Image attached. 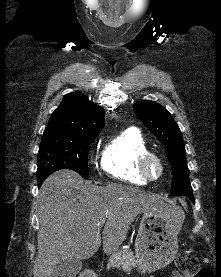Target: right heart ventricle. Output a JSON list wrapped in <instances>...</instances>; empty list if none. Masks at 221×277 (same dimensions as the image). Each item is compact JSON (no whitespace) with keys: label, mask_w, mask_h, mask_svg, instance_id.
<instances>
[{"label":"right heart ventricle","mask_w":221,"mask_h":277,"mask_svg":"<svg viewBox=\"0 0 221 277\" xmlns=\"http://www.w3.org/2000/svg\"><path fill=\"white\" fill-rule=\"evenodd\" d=\"M149 152L148 144L142 133L129 128L112 138L102 154V167L114 179L132 184H145L140 174L138 161Z\"/></svg>","instance_id":"e07e8e85"}]
</instances>
